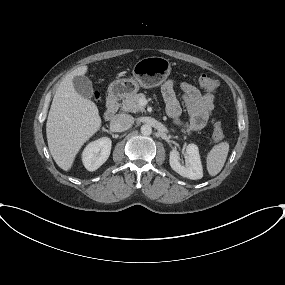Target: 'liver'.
<instances>
[{"label":"liver","mask_w":285,"mask_h":285,"mask_svg":"<svg viewBox=\"0 0 285 285\" xmlns=\"http://www.w3.org/2000/svg\"><path fill=\"white\" fill-rule=\"evenodd\" d=\"M87 66L67 74L57 88L46 123L50 153L56 164L69 171L82 145L100 128L101 117L95 103L78 94L75 76L84 75Z\"/></svg>","instance_id":"6515ba94"}]
</instances>
